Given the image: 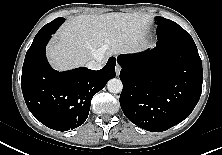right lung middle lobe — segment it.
<instances>
[{"mask_svg": "<svg viewBox=\"0 0 222 155\" xmlns=\"http://www.w3.org/2000/svg\"><path fill=\"white\" fill-rule=\"evenodd\" d=\"M64 21H65L64 18L59 17V18L54 19L52 22L46 24L45 26H43L41 30L36 34L33 40V43L37 42L46 32L51 31V30L55 32Z\"/></svg>", "mask_w": 222, "mask_h": 155, "instance_id": "obj_1", "label": "right lung middle lobe"}]
</instances>
